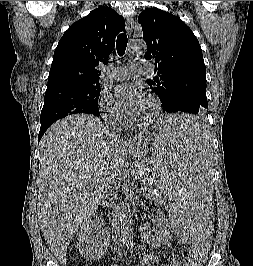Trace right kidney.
I'll return each instance as SVG.
<instances>
[{
  "mask_svg": "<svg viewBox=\"0 0 253 266\" xmlns=\"http://www.w3.org/2000/svg\"><path fill=\"white\" fill-rule=\"evenodd\" d=\"M77 241L79 252L84 258L100 259L108 248L109 234L102 225L94 220H89L78 232Z\"/></svg>",
  "mask_w": 253,
  "mask_h": 266,
  "instance_id": "ca27d5eb",
  "label": "right kidney"
}]
</instances>
